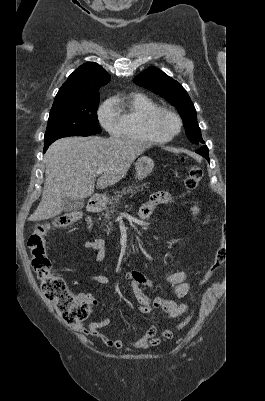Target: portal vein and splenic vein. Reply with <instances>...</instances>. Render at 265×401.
Segmentation results:
<instances>
[{
    "instance_id": "18ae733b",
    "label": "portal vein and splenic vein",
    "mask_w": 265,
    "mask_h": 401,
    "mask_svg": "<svg viewBox=\"0 0 265 401\" xmlns=\"http://www.w3.org/2000/svg\"><path fill=\"white\" fill-rule=\"evenodd\" d=\"M105 168H98V170H96V174H103Z\"/></svg>"
}]
</instances>
